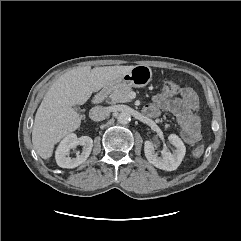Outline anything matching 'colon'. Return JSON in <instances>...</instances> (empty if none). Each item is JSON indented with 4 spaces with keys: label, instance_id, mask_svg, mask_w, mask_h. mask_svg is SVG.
I'll use <instances>...</instances> for the list:
<instances>
[{
    "label": "colon",
    "instance_id": "1",
    "mask_svg": "<svg viewBox=\"0 0 241 241\" xmlns=\"http://www.w3.org/2000/svg\"><path fill=\"white\" fill-rule=\"evenodd\" d=\"M178 92H179V87L173 82H166L161 89V93L165 97H173ZM204 151H205L204 146L199 145L194 149L193 155L195 157H201L204 154Z\"/></svg>",
    "mask_w": 241,
    "mask_h": 241
}]
</instances>
